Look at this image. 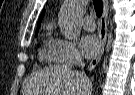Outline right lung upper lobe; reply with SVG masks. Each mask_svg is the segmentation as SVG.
<instances>
[{"label": "right lung upper lobe", "instance_id": "right-lung-upper-lobe-1", "mask_svg": "<svg viewBox=\"0 0 135 95\" xmlns=\"http://www.w3.org/2000/svg\"><path fill=\"white\" fill-rule=\"evenodd\" d=\"M44 13H45V11L42 12V14L40 15V18H39V20H38L37 31H38V29H39V26H40V23H41L42 18H43V16H44Z\"/></svg>", "mask_w": 135, "mask_h": 95}]
</instances>
